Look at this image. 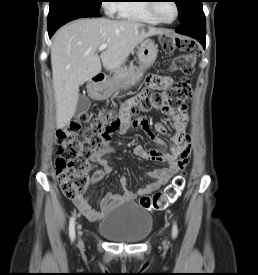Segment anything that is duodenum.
Returning a JSON list of instances; mask_svg holds the SVG:
<instances>
[{
  "instance_id": "duodenum-1",
  "label": "duodenum",
  "mask_w": 258,
  "mask_h": 275,
  "mask_svg": "<svg viewBox=\"0 0 258 275\" xmlns=\"http://www.w3.org/2000/svg\"><path fill=\"white\" fill-rule=\"evenodd\" d=\"M106 76L103 72H98L93 77V87L91 89L92 94L98 95L101 89V85L105 82Z\"/></svg>"
}]
</instances>
